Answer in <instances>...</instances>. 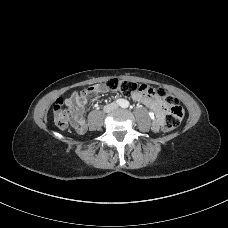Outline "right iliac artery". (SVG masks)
<instances>
[{
	"mask_svg": "<svg viewBox=\"0 0 228 228\" xmlns=\"http://www.w3.org/2000/svg\"><path fill=\"white\" fill-rule=\"evenodd\" d=\"M123 102H124V101H123V100H121V99H117V100H116V103H117V104H119V105H122V104H123Z\"/></svg>",
	"mask_w": 228,
	"mask_h": 228,
	"instance_id": "1",
	"label": "right iliac artery"
}]
</instances>
